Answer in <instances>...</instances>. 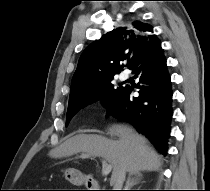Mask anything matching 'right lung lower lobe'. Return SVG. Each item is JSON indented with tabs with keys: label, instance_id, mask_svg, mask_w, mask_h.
Returning a JSON list of instances; mask_svg holds the SVG:
<instances>
[{
	"label": "right lung lower lobe",
	"instance_id": "obj_1",
	"mask_svg": "<svg viewBox=\"0 0 210 191\" xmlns=\"http://www.w3.org/2000/svg\"><path fill=\"white\" fill-rule=\"evenodd\" d=\"M139 77V96L126 85L116 99L106 107L107 112L132 124L165 155L172 118V90L166 59L156 37L130 67Z\"/></svg>",
	"mask_w": 210,
	"mask_h": 191
}]
</instances>
